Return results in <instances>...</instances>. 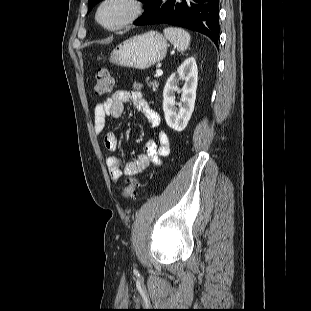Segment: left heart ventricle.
<instances>
[{
  "label": "left heart ventricle",
  "instance_id": "1",
  "mask_svg": "<svg viewBox=\"0 0 311 311\" xmlns=\"http://www.w3.org/2000/svg\"><path fill=\"white\" fill-rule=\"evenodd\" d=\"M128 8L121 2H111L105 5L101 11V19L106 25H115L127 14Z\"/></svg>",
  "mask_w": 311,
  "mask_h": 311
}]
</instances>
